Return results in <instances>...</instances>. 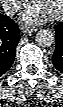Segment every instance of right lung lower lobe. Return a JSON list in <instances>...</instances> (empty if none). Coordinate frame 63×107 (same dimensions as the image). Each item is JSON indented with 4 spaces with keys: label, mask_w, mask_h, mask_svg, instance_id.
I'll return each instance as SVG.
<instances>
[{
    "label": "right lung lower lobe",
    "mask_w": 63,
    "mask_h": 107,
    "mask_svg": "<svg viewBox=\"0 0 63 107\" xmlns=\"http://www.w3.org/2000/svg\"><path fill=\"white\" fill-rule=\"evenodd\" d=\"M19 40L17 24L8 16L0 14V76L12 66Z\"/></svg>",
    "instance_id": "obj_1"
}]
</instances>
